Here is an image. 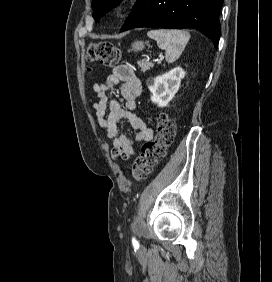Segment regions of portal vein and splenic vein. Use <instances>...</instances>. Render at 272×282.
I'll return each mask as SVG.
<instances>
[{
	"label": "portal vein and splenic vein",
	"instance_id": "portal-vein-and-splenic-vein-1",
	"mask_svg": "<svg viewBox=\"0 0 272 282\" xmlns=\"http://www.w3.org/2000/svg\"><path fill=\"white\" fill-rule=\"evenodd\" d=\"M162 59H163V56H162V55H160V56H159V58H158V59H156V62H157V63H161Z\"/></svg>",
	"mask_w": 272,
	"mask_h": 282
}]
</instances>
